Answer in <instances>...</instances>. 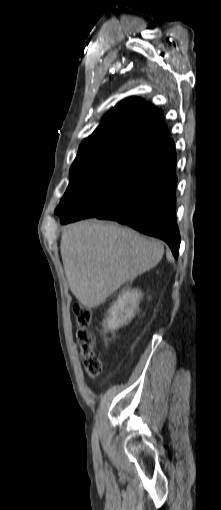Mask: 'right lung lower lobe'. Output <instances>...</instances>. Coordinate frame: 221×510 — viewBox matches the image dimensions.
I'll list each match as a JSON object with an SVG mask.
<instances>
[{"label": "right lung lower lobe", "instance_id": "obj_1", "mask_svg": "<svg viewBox=\"0 0 221 510\" xmlns=\"http://www.w3.org/2000/svg\"><path fill=\"white\" fill-rule=\"evenodd\" d=\"M174 142L152 152L144 162L126 193L113 207L98 212L85 210L82 204L67 216L63 224L88 217L114 220L165 241L175 258L178 257L180 234L176 222Z\"/></svg>", "mask_w": 221, "mask_h": 510}]
</instances>
